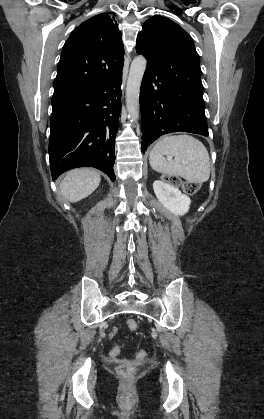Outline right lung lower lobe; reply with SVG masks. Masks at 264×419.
I'll list each match as a JSON object with an SVG mask.
<instances>
[{"label": "right lung lower lobe", "mask_w": 264, "mask_h": 419, "mask_svg": "<svg viewBox=\"0 0 264 419\" xmlns=\"http://www.w3.org/2000/svg\"><path fill=\"white\" fill-rule=\"evenodd\" d=\"M121 82L122 72L96 87L53 95L49 141L53 180L76 167H95L115 180Z\"/></svg>", "instance_id": "right-lung-lower-lobe-1"}]
</instances>
